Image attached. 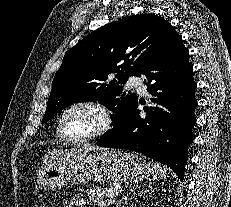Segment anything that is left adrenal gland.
Returning a JSON list of instances; mask_svg holds the SVG:
<instances>
[{
    "mask_svg": "<svg viewBox=\"0 0 231 207\" xmlns=\"http://www.w3.org/2000/svg\"><path fill=\"white\" fill-rule=\"evenodd\" d=\"M124 199H125V198H123V199H121V200L118 201V203H117V206H118V207H121L122 201H123Z\"/></svg>",
    "mask_w": 231,
    "mask_h": 207,
    "instance_id": "left-adrenal-gland-1",
    "label": "left adrenal gland"
}]
</instances>
